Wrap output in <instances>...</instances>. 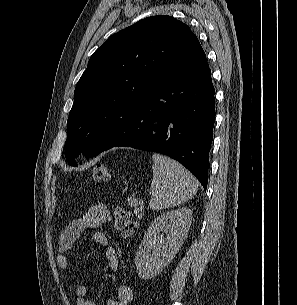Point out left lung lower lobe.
<instances>
[{"instance_id":"1","label":"left lung lower lobe","mask_w":297,"mask_h":305,"mask_svg":"<svg viewBox=\"0 0 297 305\" xmlns=\"http://www.w3.org/2000/svg\"><path fill=\"white\" fill-rule=\"evenodd\" d=\"M214 94L209 66L164 82L140 102L125 122L123 133L102 151L132 147L168 155L184 165L206 190Z\"/></svg>"}]
</instances>
